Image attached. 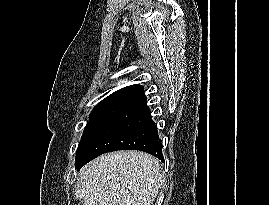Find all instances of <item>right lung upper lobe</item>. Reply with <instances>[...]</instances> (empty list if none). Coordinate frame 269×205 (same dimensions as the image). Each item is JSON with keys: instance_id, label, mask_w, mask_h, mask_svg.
I'll use <instances>...</instances> for the list:
<instances>
[{"instance_id": "cb5924a9", "label": "right lung upper lobe", "mask_w": 269, "mask_h": 205, "mask_svg": "<svg viewBox=\"0 0 269 205\" xmlns=\"http://www.w3.org/2000/svg\"><path fill=\"white\" fill-rule=\"evenodd\" d=\"M146 101V96L141 85L124 87L102 100L97 106H119L125 109Z\"/></svg>"}]
</instances>
